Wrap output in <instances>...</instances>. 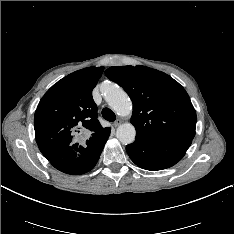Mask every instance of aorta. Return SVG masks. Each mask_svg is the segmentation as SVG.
Returning a JSON list of instances; mask_svg holds the SVG:
<instances>
[{"instance_id":"obj_1","label":"aorta","mask_w":234,"mask_h":234,"mask_svg":"<svg viewBox=\"0 0 234 234\" xmlns=\"http://www.w3.org/2000/svg\"><path fill=\"white\" fill-rule=\"evenodd\" d=\"M102 93L108 105L120 116H129L132 112V103L128 94L115 83L102 85ZM135 127L131 123H124L117 128L116 137L124 145L134 142Z\"/></svg>"}]
</instances>
